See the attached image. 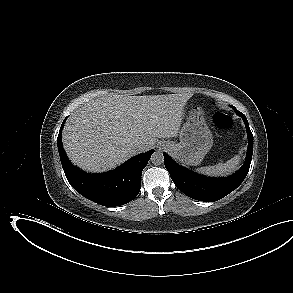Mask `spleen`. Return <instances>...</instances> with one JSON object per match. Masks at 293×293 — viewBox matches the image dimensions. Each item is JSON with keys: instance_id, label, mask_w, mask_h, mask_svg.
<instances>
[{"instance_id": "spleen-1", "label": "spleen", "mask_w": 293, "mask_h": 293, "mask_svg": "<svg viewBox=\"0 0 293 293\" xmlns=\"http://www.w3.org/2000/svg\"><path fill=\"white\" fill-rule=\"evenodd\" d=\"M240 159V155H235L233 158L225 163H218L214 166L201 167L198 168L196 171L209 176H227L233 173L238 168Z\"/></svg>"}]
</instances>
